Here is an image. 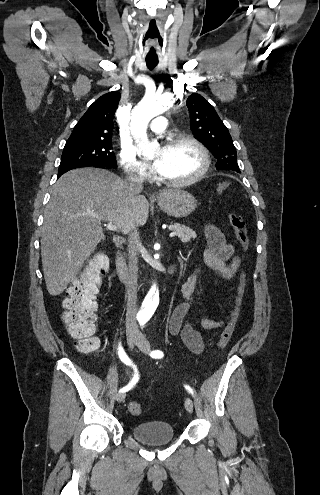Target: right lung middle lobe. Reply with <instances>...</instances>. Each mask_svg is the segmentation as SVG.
<instances>
[{
	"label": "right lung middle lobe",
	"instance_id": "dd1d6c3e",
	"mask_svg": "<svg viewBox=\"0 0 320 495\" xmlns=\"http://www.w3.org/2000/svg\"><path fill=\"white\" fill-rule=\"evenodd\" d=\"M87 166L117 167L116 157L112 151V142H66L58 175H62L71 169Z\"/></svg>",
	"mask_w": 320,
	"mask_h": 495
}]
</instances>
